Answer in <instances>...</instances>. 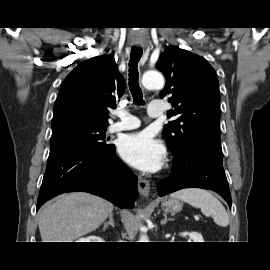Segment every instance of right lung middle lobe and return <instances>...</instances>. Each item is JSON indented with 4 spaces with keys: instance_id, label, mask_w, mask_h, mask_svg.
Wrapping results in <instances>:
<instances>
[{
    "instance_id": "right-lung-middle-lobe-1",
    "label": "right lung middle lobe",
    "mask_w": 270,
    "mask_h": 270,
    "mask_svg": "<svg viewBox=\"0 0 270 270\" xmlns=\"http://www.w3.org/2000/svg\"><path fill=\"white\" fill-rule=\"evenodd\" d=\"M106 126L77 121L53 126L50 147L60 143H77L111 149L114 145L106 142L110 139L105 138Z\"/></svg>"
}]
</instances>
